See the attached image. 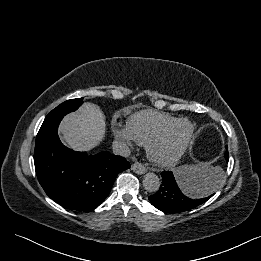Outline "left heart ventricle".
Segmentation results:
<instances>
[{"mask_svg":"<svg viewBox=\"0 0 261 261\" xmlns=\"http://www.w3.org/2000/svg\"><path fill=\"white\" fill-rule=\"evenodd\" d=\"M190 127L188 124H180L176 129L171 133L168 139L160 148L161 154H170L175 149H177L186 139L189 133Z\"/></svg>","mask_w":261,"mask_h":261,"instance_id":"1","label":"left heart ventricle"}]
</instances>
